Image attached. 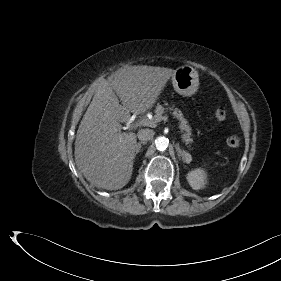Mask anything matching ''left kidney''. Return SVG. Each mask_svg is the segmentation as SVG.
Here are the masks:
<instances>
[{"mask_svg": "<svg viewBox=\"0 0 281 281\" xmlns=\"http://www.w3.org/2000/svg\"><path fill=\"white\" fill-rule=\"evenodd\" d=\"M206 178V172L200 168L192 170L187 174V181L194 190L204 188V185L206 184Z\"/></svg>", "mask_w": 281, "mask_h": 281, "instance_id": "1", "label": "left kidney"}]
</instances>
